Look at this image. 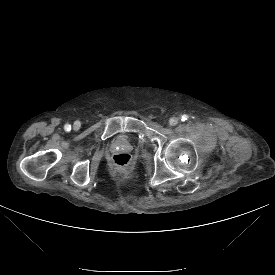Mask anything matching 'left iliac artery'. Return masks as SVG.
Returning <instances> with one entry per match:
<instances>
[{"mask_svg": "<svg viewBox=\"0 0 275 275\" xmlns=\"http://www.w3.org/2000/svg\"><path fill=\"white\" fill-rule=\"evenodd\" d=\"M187 119H188V116H187V115H183L182 118H181L182 121H185V120H187Z\"/></svg>", "mask_w": 275, "mask_h": 275, "instance_id": "left-iliac-artery-1", "label": "left iliac artery"}]
</instances>
